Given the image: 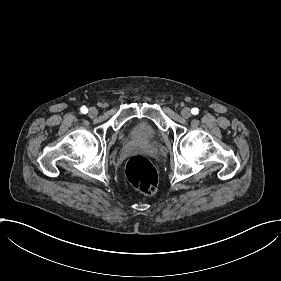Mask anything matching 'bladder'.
<instances>
[{"label":"bladder","mask_w":281,"mask_h":281,"mask_svg":"<svg viewBox=\"0 0 281 281\" xmlns=\"http://www.w3.org/2000/svg\"><path fill=\"white\" fill-rule=\"evenodd\" d=\"M132 137L141 143L148 144L155 139V132L152 127L146 123L137 124L132 128Z\"/></svg>","instance_id":"1"}]
</instances>
